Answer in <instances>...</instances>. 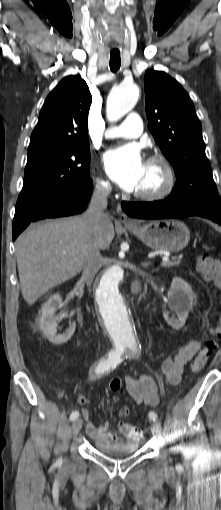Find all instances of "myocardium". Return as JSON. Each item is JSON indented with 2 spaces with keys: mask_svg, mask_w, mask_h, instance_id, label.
Returning a JSON list of instances; mask_svg holds the SVG:
<instances>
[{
  "mask_svg": "<svg viewBox=\"0 0 221 510\" xmlns=\"http://www.w3.org/2000/svg\"><path fill=\"white\" fill-rule=\"evenodd\" d=\"M146 163L159 164L164 171V183L163 185L154 192H135L134 197L147 202L158 201L168 197L176 182L175 172L170 161L162 154H153L149 156Z\"/></svg>",
  "mask_w": 221,
  "mask_h": 510,
  "instance_id": "myocardium-1",
  "label": "myocardium"
}]
</instances>
